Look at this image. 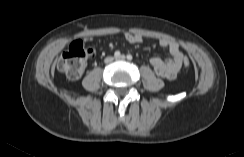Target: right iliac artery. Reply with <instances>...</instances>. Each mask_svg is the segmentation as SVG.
<instances>
[{
  "label": "right iliac artery",
  "instance_id": "obj_1",
  "mask_svg": "<svg viewBox=\"0 0 244 157\" xmlns=\"http://www.w3.org/2000/svg\"><path fill=\"white\" fill-rule=\"evenodd\" d=\"M121 54H120V52L119 51H116L115 53H114V56L117 58V57H119Z\"/></svg>",
  "mask_w": 244,
  "mask_h": 157
}]
</instances>
